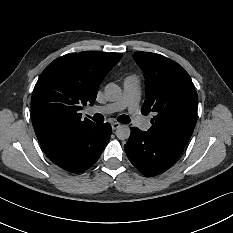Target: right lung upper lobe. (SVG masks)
<instances>
[{
  "label": "right lung upper lobe",
  "instance_id": "1",
  "mask_svg": "<svg viewBox=\"0 0 233 233\" xmlns=\"http://www.w3.org/2000/svg\"><path fill=\"white\" fill-rule=\"evenodd\" d=\"M122 54L84 51L51 62L40 75L31 98V118L44 151L95 128L79 110L96 99L99 85Z\"/></svg>",
  "mask_w": 233,
  "mask_h": 233
}]
</instances>
